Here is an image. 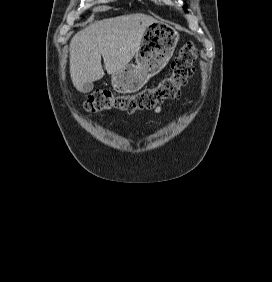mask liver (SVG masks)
Returning <instances> with one entry per match:
<instances>
[{
  "label": "liver",
  "mask_w": 272,
  "mask_h": 282,
  "mask_svg": "<svg viewBox=\"0 0 272 282\" xmlns=\"http://www.w3.org/2000/svg\"><path fill=\"white\" fill-rule=\"evenodd\" d=\"M156 19L145 14H128L97 21L79 31L70 42V76L83 92L86 83L121 71L135 56L146 28Z\"/></svg>",
  "instance_id": "obj_1"
}]
</instances>
